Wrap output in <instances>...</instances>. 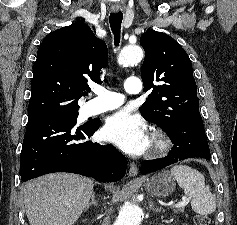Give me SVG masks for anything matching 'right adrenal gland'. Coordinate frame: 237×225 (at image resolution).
Returning a JSON list of instances; mask_svg holds the SVG:
<instances>
[{
	"instance_id": "obj_1",
	"label": "right adrenal gland",
	"mask_w": 237,
	"mask_h": 225,
	"mask_svg": "<svg viewBox=\"0 0 237 225\" xmlns=\"http://www.w3.org/2000/svg\"><path fill=\"white\" fill-rule=\"evenodd\" d=\"M92 205H94V206H96V207L98 206V203H97V201L95 200V193H94V192H93L92 195H91V202L86 205L85 210H88L89 207L92 206Z\"/></svg>"
}]
</instances>
